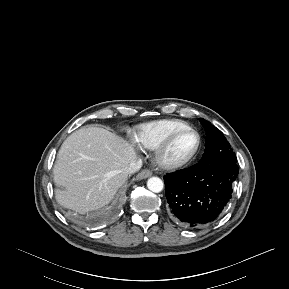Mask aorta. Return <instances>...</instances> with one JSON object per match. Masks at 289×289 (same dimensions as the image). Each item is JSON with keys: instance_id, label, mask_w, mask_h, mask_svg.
Returning <instances> with one entry per match:
<instances>
[{"instance_id": "aorta-1", "label": "aorta", "mask_w": 289, "mask_h": 289, "mask_svg": "<svg viewBox=\"0 0 289 289\" xmlns=\"http://www.w3.org/2000/svg\"><path fill=\"white\" fill-rule=\"evenodd\" d=\"M147 187L154 193H159L164 188V183L159 177H151L147 180Z\"/></svg>"}]
</instances>
